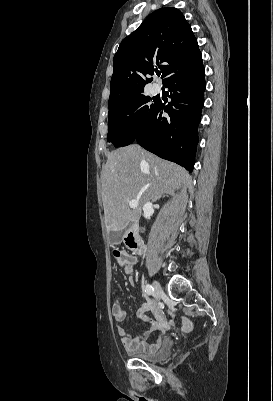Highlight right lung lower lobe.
<instances>
[{
	"label": "right lung lower lobe",
	"instance_id": "98d812e1",
	"mask_svg": "<svg viewBox=\"0 0 273 401\" xmlns=\"http://www.w3.org/2000/svg\"><path fill=\"white\" fill-rule=\"evenodd\" d=\"M204 66L202 58L176 68L164 82L171 102L161 101L147 125L140 128L135 142L161 158L192 171L198 142L197 126L204 104ZM167 112L169 117H164Z\"/></svg>",
	"mask_w": 273,
	"mask_h": 401
}]
</instances>
